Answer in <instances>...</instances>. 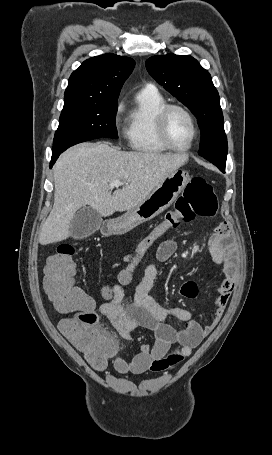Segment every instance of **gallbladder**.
I'll list each match as a JSON object with an SVG mask.
<instances>
[{"mask_svg":"<svg viewBox=\"0 0 272 455\" xmlns=\"http://www.w3.org/2000/svg\"><path fill=\"white\" fill-rule=\"evenodd\" d=\"M102 223L100 214L90 206L78 210L70 221L69 230L74 239L88 237L98 231Z\"/></svg>","mask_w":272,"mask_h":455,"instance_id":"1","label":"gallbladder"}]
</instances>
